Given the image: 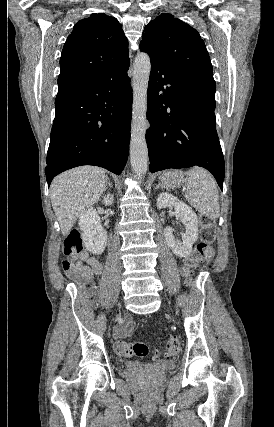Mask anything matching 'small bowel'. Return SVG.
I'll return each instance as SVG.
<instances>
[{
  "mask_svg": "<svg viewBox=\"0 0 274 427\" xmlns=\"http://www.w3.org/2000/svg\"><path fill=\"white\" fill-rule=\"evenodd\" d=\"M80 261L77 263L81 273L88 279L99 276L103 270V264L100 260L93 257L88 251H83L79 255ZM134 321L127 318L124 327L119 331V336H129L131 334Z\"/></svg>",
  "mask_w": 274,
  "mask_h": 427,
  "instance_id": "obj_1",
  "label": "small bowel"
}]
</instances>
